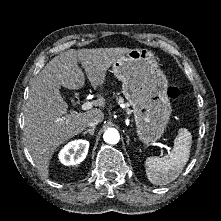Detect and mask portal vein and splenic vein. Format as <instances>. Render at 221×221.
<instances>
[{"label": "portal vein and splenic vein", "instance_id": "18ae733b", "mask_svg": "<svg viewBox=\"0 0 221 221\" xmlns=\"http://www.w3.org/2000/svg\"><path fill=\"white\" fill-rule=\"evenodd\" d=\"M92 107H93V102H90V101H87L81 105V109L84 111L90 110L92 109Z\"/></svg>", "mask_w": 221, "mask_h": 221}]
</instances>
